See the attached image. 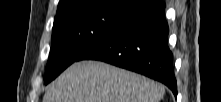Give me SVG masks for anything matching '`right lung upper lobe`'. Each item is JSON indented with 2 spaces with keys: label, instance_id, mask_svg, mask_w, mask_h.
Returning <instances> with one entry per match:
<instances>
[{
  "label": "right lung upper lobe",
  "instance_id": "obj_1",
  "mask_svg": "<svg viewBox=\"0 0 221 102\" xmlns=\"http://www.w3.org/2000/svg\"><path fill=\"white\" fill-rule=\"evenodd\" d=\"M85 1H87V0H60L56 14L73 9ZM125 1L130 6L135 7L137 10H141L144 7H146L147 5L154 2L155 0H125Z\"/></svg>",
  "mask_w": 221,
  "mask_h": 102
}]
</instances>
